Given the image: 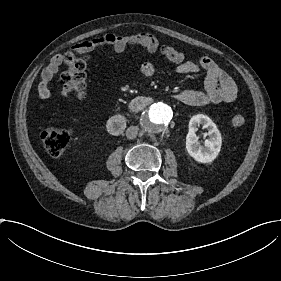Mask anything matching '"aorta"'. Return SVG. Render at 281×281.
<instances>
[{"instance_id":"1","label":"aorta","mask_w":281,"mask_h":281,"mask_svg":"<svg viewBox=\"0 0 281 281\" xmlns=\"http://www.w3.org/2000/svg\"><path fill=\"white\" fill-rule=\"evenodd\" d=\"M173 112L170 106L162 102L155 103L143 113L145 129L150 133H158L171 121Z\"/></svg>"}]
</instances>
